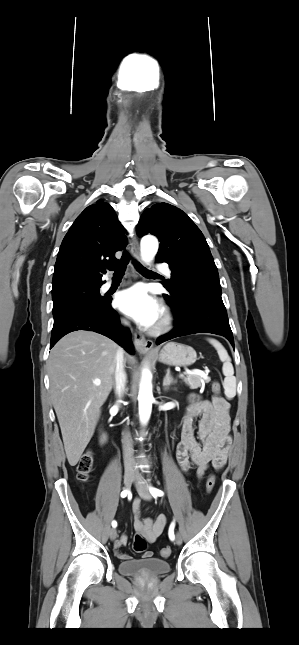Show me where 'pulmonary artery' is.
Masks as SVG:
<instances>
[{
  "label": "pulmonary artery",
  "instance_id": "obj_1",
  "mask_svg": "<svg viewBox=\"0 0 299 645\" xmlns=\"http://www.w3.org/2000/svg\"><path fill=\"white\" fill-rule=\"evenodd\" d=\"M157 269H159L160 271H162L164 274H166L168 276L171 275V269L166 264L157 265ZM112 284H113L112 281L108 280L103 284L102 289L103 290H108L112 286Z\"/></svg>",
  "mask_w": 299,
  "mask_h": 645
}]
</instances>
